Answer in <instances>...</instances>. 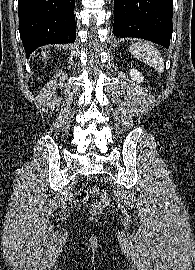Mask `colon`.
<instances>
[{"label": "colon", "mask_w": 195, "mask_h": 270, "mask_svg": "<svg viewBox=\"0 0 195 270\" xmlns=\"http://www.w3.org/2000/svg\"><path fill=\"white\" fill-rule=\"evenodd\" d=\"M90 194H99V189L96 186H92L89 189H80L75 192L73 196V201L77 205L84 204ZM100 201L101 203H93L91 206V212L93 214H99L102 211V204H107L110 201V197L106 193L100 194Z\"/></svg>", "instance_id": "obj_1"}]
</instances>
